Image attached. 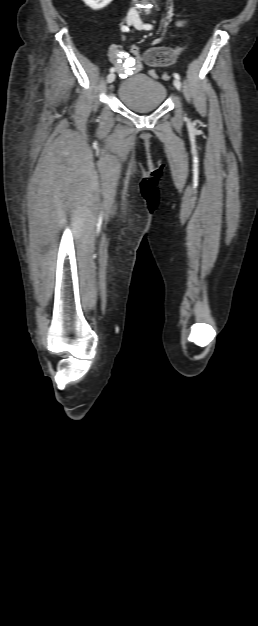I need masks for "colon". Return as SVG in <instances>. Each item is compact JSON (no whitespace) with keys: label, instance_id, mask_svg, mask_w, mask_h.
I'll return each instance as SVG.
<instances>
[{"label":"colon","instance_id":"colon-1","mask_svg":"<svg viewBox=\"0 0 258 626\" xmlns=\"http://www.w3.org/2000/svg\"><path fill=\"white\" fill-rule=\"evenodd\" d=\"M131 51L133 54H139V49L136 46H133ZM177 54L178 51L175 49L157 46L146 53L145 60L149 65L168 66L174 62Z\"/></svg>","mask_w":258,"mask_h":626}]
</instances>
